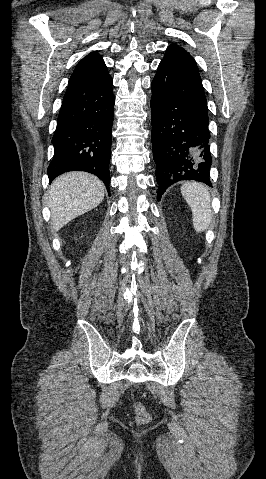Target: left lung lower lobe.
Instances as JSON below:
<instances>
[{
    "instance_id": "1",
    "label": "left lung lower lobe",
    "mask_w": 266,
    "mask_h": 479,
    "mask_svg": "<svg viewBox=\"0 0 266 479\" xmlns=\"http://www.w3.org/2000/svg\"><path fill=\"white\" fill-rule=\"evenodd\" d=\"M153 158L158 201L181 180L211 186L210 133L202 82L161 62L152 81Z\"/></svg>"
}]
</instances>
